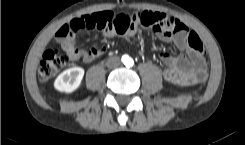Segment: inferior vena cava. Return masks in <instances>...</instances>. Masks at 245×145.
<instances>
[{
    "label": "inferior vena cava",
    "mask_w": 245,
    "mask_h": 145,
    "mask_svg": "<svg viewBox=\"0 0 245 145\" xmlns=\"http://www.w3.org/2000/svg\"><path fill=\"white\" fill-rule=\"evenodd\" d=\"M119 65H120V59H119V57L113 56V57L108 58V60H107V66L109 68H115V67H117Z\"/></svg>",
    "instance_id": "inferior-vena-cava-1"
}]
</instances>
